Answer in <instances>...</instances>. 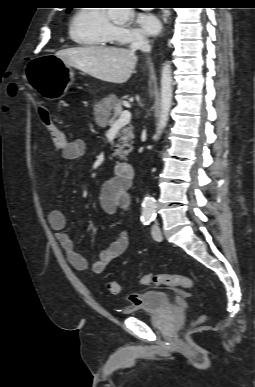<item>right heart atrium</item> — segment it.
<instances>
[{"mask_svg":"<svg viewBox=\"0 0 255 387\" xmlns=\"http://www.w3.org/2000/svg\"><path fill=\"white\" fill-rule=\"evenodd\" d=\"M112 35L115 42L123 45L145 40V37L135 29L122 25H114Z\"/></svg>","mask_w":255,"mask_h":387,"instance_id":"d8ad5b80","label":"right heart atrium"}]
</instances>
